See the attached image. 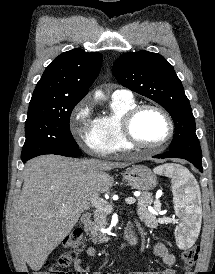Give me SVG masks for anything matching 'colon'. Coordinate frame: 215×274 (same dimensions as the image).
Wrapping results in <instances>:
<instances>
[{
  "instance_id": "1",
  "label": "colon",
  "mask_w": 215,
  "mask_h": 274,
  "mask_svg": "<svg viewBox=\"0 0 215 274\" xmlns=\"http://www.w3.org/2000/svg\"><path fill=\"white\" fill-rule=\"evenodd\" d=\"M63 247L65 248V251L59 256L58 264L62 267H66L69 265L74 256L84 247L82 229L75 228L69 232L63 241ZM198 255L199 248L197 246H193L182 252V262L184 267L188 270L186 274H192L190 270L196 263ZM36 274H72V272H64L55 268H51Z\"/></svg>"
}]
</instances>
